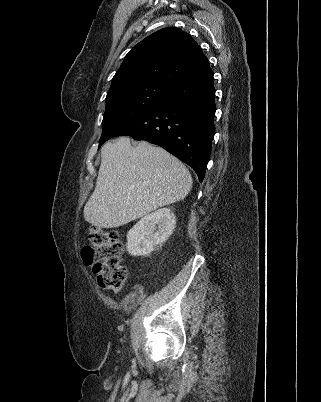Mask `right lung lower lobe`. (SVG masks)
I'll use <instances>...</instances> for the list:
<instances>
[{
  "mask_svg": "<svg viewBox=\"0 0 321 402\" xmlns=\"http://www.w3.org/2000/svg\"><path fill=\"white\" fill-rule=\"evenodd\" d=\"M215 88L210 66L169 88L167 97L116 136L160 145L191 166L202 182L215 134Z\"/></svg>",
  "mask_w": 321,
  "mask_h": 402,
  "instance_id": "98d812e1",
  "label": "right lung lower lobe"
}]
</instances>
